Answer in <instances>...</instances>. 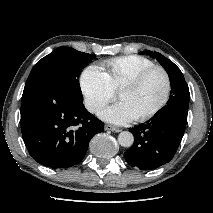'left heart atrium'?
Listing matches in <instances>:
<instances>
[{
  "label": "left heart atrium",
  "instance_id": "obj_1",
  "mask_svg": "<svg viewBox=\"0 0 213 213\" xmlns=\"http://www.w3.org/2000/svg\"><path fill=\"white\" fill-rule=\"evenodd\" d=\"M100 117L114 124H125L135 119L133 112L123 101L104 109L100 113Z\"/></svg>",
  "mask_w": 213,
  "mask_h": 213
}]
</instances>
